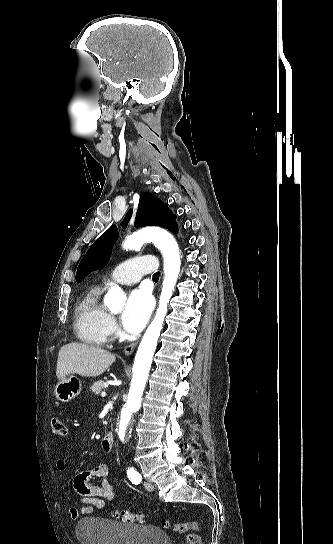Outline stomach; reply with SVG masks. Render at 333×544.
Wrapping results in <instances>:
<instances>
[{"mask_svg": "<svg viewBox=\"0 0 333 544\" xmlns=\"http://www.w3.org/2000/svg\"><path fill=\"white\" fill-rule=\"evenodd\" d=\"M82 390V383L77 378L70 376L59 380L54 389L57 400L69 402L76 398Z\"/></svg>", "mask_w": 333, "mask_h": 544, "instance_id": "0dacf381", "label": "stomach"}]
</instances>
